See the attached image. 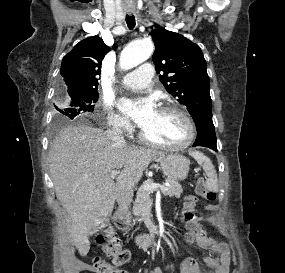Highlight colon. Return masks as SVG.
I'll return each mask as SVG.
<instances>
[{
  "label": "colon",
  "mask_w": 285,
  "mask_h": 273,
  "mask_svg": "<svg viewBox=\"0 0 285 273\" xmlns=\"http://www.w3.org/2000/svg\"><path fill=\"white\" fill-rule=\"evenodd\" d=\"M196 191L199 196L207 201H214L216 199L215 191L203 179L198 180ZM182 210L184 211L183 219H185L186 239L193 241L198 232H204L202 223H196L198 219H200V214H198L194 201H185V203L182 204ZM97 241L104 248L106 254L113 258V263L101 258H96L93 262L95 272L120 273L118 267L130 262V252L123 248L120 239L110 228L100 233L97 237Z\"/></svg>",
  "instance_id": "obj_1"
}]
</instances>
